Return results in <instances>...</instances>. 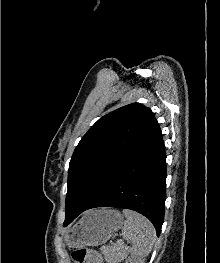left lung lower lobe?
I'll use <instances>...</instances> for the list:
<instances>
[{
  "label": "left lung lower lobe",
  "instance_id": "0a47b994",
  "mask_svg": "<svg viewBox=\"0 0 220 263\" xmlns=\"http://www.w3.org/2000/svg\"><path fill=\"white\" fill-rule=\"evenodd\" d=\"M166 155L161 132L85 209L116 207L131 209L146 216L160 235L164 219ZM85 210L66 212L64 226Z\"/></svg>",
  "mask_w": 220,
  "mask_h": 263
}]
</instances>
